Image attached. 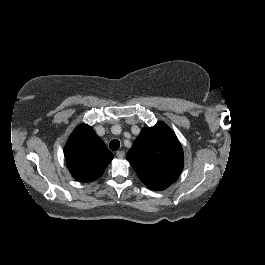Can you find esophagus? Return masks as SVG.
Returning <instances> with one entry per match:
<instances>
[{
	"mask_svg": "<svg viewBox=\"0 0 265 265\" xmlns=\"http://www.w3.org/2000/svg\"><path fill=\"white\" fill-rule=\"evenodd\" d=\"M116 155H117V157H118L119 159H123L125 153H124V151L121 150V151H118V152L116 153Z\"/></svg>",
	"mask_w": 265,
	"mask_h": 265,
	"instance_id": "1",
	"label": "esophagus"
}]
</instances>
